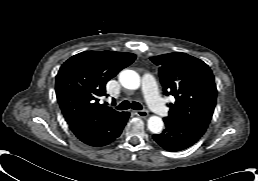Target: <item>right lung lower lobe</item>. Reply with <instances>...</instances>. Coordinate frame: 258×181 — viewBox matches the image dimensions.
<instances>
[{
  "label": "right lung lower lobe",
  "instance_id": "obj_1",
  "mask_svg": "<svg viewBox=\"0 0 258 181\" xmlns=\"http://www.w3.org/2000/svg\"><path fill=\"white\" fill-rule=\"evenodd\" d=\"M128 112H122L113 118L70 126L75 136L90 146L101 147L113 142L122 132Z\"/></svg>",
  "mask_w": 258,
  "mask_h": 181
}]
</instances>
